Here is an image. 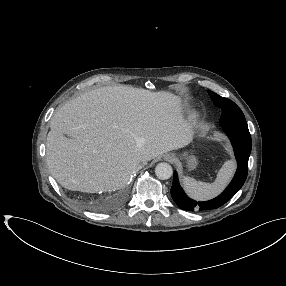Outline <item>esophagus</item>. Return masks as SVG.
I'll list each match as a JSON object with an SVG mask.
<instances>
[{
	"label": "esophagus",
	"instance_id": "obj_1",
	"mask_svg": "<svg viewBox=\"0 0 286 286\" xmlns=\"http://www.w3.org/2000/svg\"><path fill=\"white\" fill-rule=\"evenodd\" d=\"M165 159H166L167 161L173 162V161H175V159H176V155L173 154V153L167 154V155L165 156Z\"/></svg>",
	"mask_w": 286,
	"mask_h": 286
}]
</instances>
